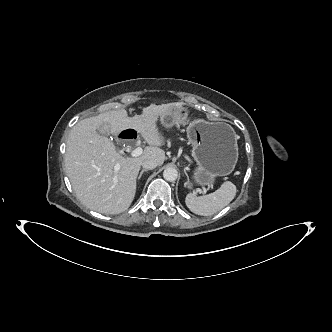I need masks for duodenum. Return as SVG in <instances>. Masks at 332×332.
I'll return each instance as SVG.
<instances>
[{"label": "duodenum", "mask_w": 332, "mask_h": 332, "mask_svg": "<svg viewBox=\"0 0 332 332\" xmlns=\"http://www.w3.org/2000/svg\"><path fill=\"white\" fill-rule=\"evenodd\" d=\"M120 137L126 141L133 140L136 137V131L134 129H127L120 134Z\"/></svg>", "instance_id": "1"}]
</instances>
